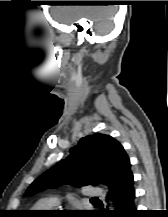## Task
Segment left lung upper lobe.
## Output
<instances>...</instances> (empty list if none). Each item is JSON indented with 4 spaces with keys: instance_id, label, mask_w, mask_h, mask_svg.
Returning <instances> with one entry per match:
<instances>
[{
    "instance_id": "obj_1",
    "label": "left lung upper lobe",
    "mask_w": 168,
    "mask_h": 217,
    "mask_svg": "<svg viewBox=\"0 0 168 217\" xmlns=\"http://www.w3.org/2000/svg\"><path fill=\"white\" fill-rule=\"evenodd\" d=\"M128 164L129 157L116 139L95 133L80 139L66 158L29 186L26 195L61 184L81 186L105 183L111 190L125 179Z\"/></svg>"
}]
</instances>
